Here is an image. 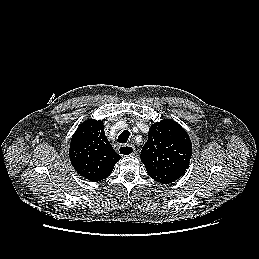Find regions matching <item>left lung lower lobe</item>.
Masks as SVG:
<instances>
[{
	"mask_svg": "<svg viewBox=\"0 0 259 259\" xmlns=\"http://www.w3.org/2000/svg\"><path fill=\"white\" fill-rule=\"evenodd\" d=\"M178 178L177 177H171V176H164L156 181L162 183V184H169V183H172L174 182L175 180H177Z\"/></svg>",
	"mask_w": 259,
	"mask_h": 259,
	"instance_id": "left-lung-lower-lobe-1",
	"label": "left lung lower lobe"
}]
</instances>
